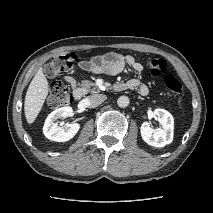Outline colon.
Masks as SVG:
<instances>
[{
    "label": "colon",
    "mask_w": 213,
    "mask_h": 213,
    "mask_svg": "<svg viewBox=\"0 0 213 213\" xmlns=\"http://www.w3.org/2000/svg\"><path fill=\"white\" fill-rule=\"evenodd\" d=\"M76 55L68 53L59 55L50 59L45 66V73L49 77H55L69 71L75 64ZM147 68L153 76H160L167 66V62L162 58H149L147 60ZM165 87L173 94L182 92L180 81L171 74H167L163 78ZM73 101L69 90L61 82L55 81L50 85L47 104L51 108H59L70 105Z\"/></svg>",
    "instance_id": "5ec220e1"
}]
</instances>
